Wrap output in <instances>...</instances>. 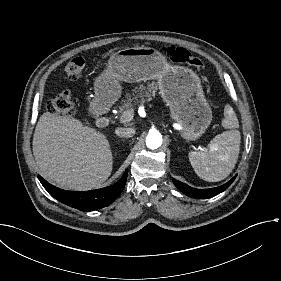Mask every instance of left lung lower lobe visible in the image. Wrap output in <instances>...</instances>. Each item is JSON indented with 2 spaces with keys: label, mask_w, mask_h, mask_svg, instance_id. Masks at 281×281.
Here are the masks:
<instances>
[{
  "label": "left lung lower lobe",
  "mask_w": 281,
  "mask_h": 281,
  "mask_svg": "<svg viewBox=\"0 0 281 281\" xmlns=\"http://www.w3.org/2000/svg\"><path fill=\"white\" fill-rule=\"evenodd\" d=\"M237 175H235L229 182L226 184L216 187V188H211V189H196L188 186L187 184H184L178 180L172 179L173 183L175 186L182 191L184 194H186L189 197L196 198V199H206V198H211L213 196L218 195L219 193L223 192L226 190L231 183L235 180Z\"/></svg>",
  "instance_id": "left-lung-lower-lobe-1"
}]
</instances>
